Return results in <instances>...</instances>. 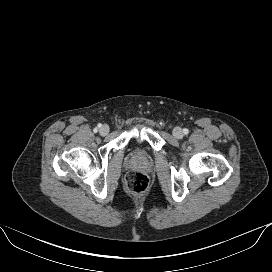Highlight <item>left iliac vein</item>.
I'll return each instance as SVG.
<instances>
[{
    "instance_id": "4c4485c4",
    "label": "left iliac vein",
    "mask_w": 272,
    "mask_h": 272,
    "mask_svg": "<svg viewBox=\"0 0 272 272\" xmlns=\"http://www.w3.org/2000/svg\"><path fill=\"white\" fill-rule=\"evenodd\" d=\"M172 133H173V136L178 139L183 137V131L180 127H175Z\"/></svg>"
}]
</instances>
